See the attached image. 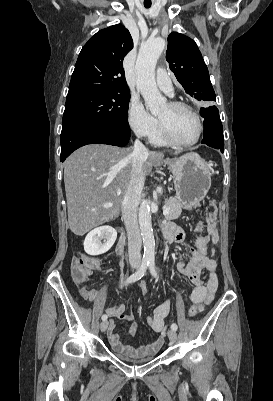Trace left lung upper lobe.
I'll return each mask as SVG.
<instances>
[{
  "label": "left lung upper lobe",
  "mask_w": 273,
  "mask_h": 401,
  "mask_svg": "<svg viewBox=\"0 0 273 401\" xmlns=\"http://www.w3.org/2000/svg\"><path fill=\"white\" fill-rule=\"evenodd\" d=\"M166 60L187 94L199 101H216L207 66L191 38L172 32L168 36Z\"/></svg>",
  "instance_id": "5c2ea615"
}]
</instances>
